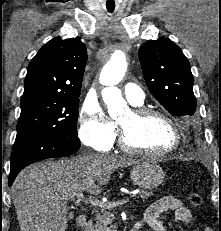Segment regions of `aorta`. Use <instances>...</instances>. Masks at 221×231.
I'll return each mask as SVG.
<instances>
[{
	"label": "aorta",
	"instance_id": "aorta-1",
	"mask_svg": "<svg viewBox=\"0 0 221 231\" xmlns=\"http://www.w3.org/2000/svg\"><path fill=\"white\" fill-rule=\"evenodd\" d=\"M127 69L125 54L122 51H115L109 62L103 67L100 74V83L106 86L102 90V98L108 107L111 116L117 115L127 107L121 95L120 89L116 87L123 79Z\"/></svg>",
	"mask_w": 221,
	"mask_h": 231
}]
</instances>
